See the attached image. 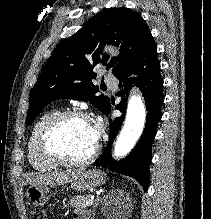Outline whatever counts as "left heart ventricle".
<instances>
[{
	"label": "left heart ventricle",
	"mask_w": 211,
	"mask_h": 219,
	"mask_svg": "<svg viewBox=\"0 0 211 219\" xmlns=\"http://www.w3.org/2000/svg\"><path fill=\"white\" fill-rule=\"evenodd\" d=\"M56 150L69 159L86 158L95 148L88 121L68 119L59 125L53 136Z\"/></svg>",
	"instance_id": "1"
}]
</instances>
